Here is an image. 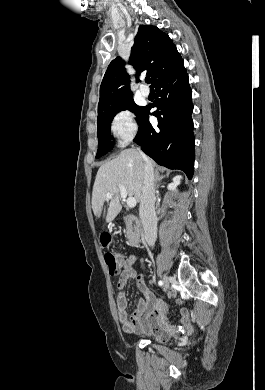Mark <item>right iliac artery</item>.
Returning a JSON list of instances; mask_svg holds the SVG:
<instances>
[{"label":"right iliac artery","instance_id":"right-iliac-artery-1","mask_svg":"<svg viewBox=\"0 0 265 390\" xmlns=\"http://www.w3.org/2000/svg\"><path fill=\"white\" fill-rule=\"evenodd\" d=\"M158 284H159V286H162V285H163V281L160 280V281L158 282Z\"/></svg>","mask_w":265,"mask_h":390}]
</instances>
